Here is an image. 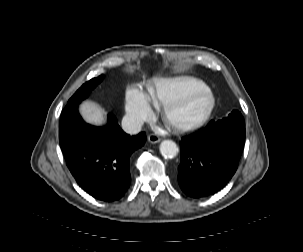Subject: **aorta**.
Returning <instances> with one entry per match:
<instances>
[{"mask_svg":"<svg viewBox=\"0 0 303 252\" xmlns=\"http://www.w3.org/2000/svg\"><path fill=\"white\" fill-rule=\"evenodd\" d=\"M160 153L165 158H174L178 154L177 144L172 140H164L160 144Z\"/></svg>","mask_w":303,"mask_h":252,"instance_id":"obj_1","label":"aorta"}]
</instances>
